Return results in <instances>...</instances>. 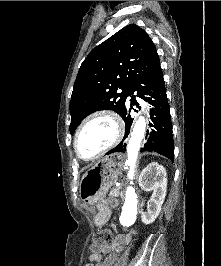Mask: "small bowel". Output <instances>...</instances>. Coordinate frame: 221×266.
I'll list each match as a JSON object with an SVG mask.
<instances>
[{
    "label": "small bowel",
    "mask_w": 221,
    "mask_h": 266,
    "mask_svg": "<svg viewBox=\"0 0 221 266\" xmlns=\"http://www.w3.org/2000/svg\"><path fill=\"white\" fill-rule=\"evenodd\" d=\"M131 237L129 234H120L116 238V243L111 246H107L104 249V253L107 257L102 260L100 254H91L89 257V263L85 266H113L117 260V253L122 250V245L127 244Z\"/></svg>",
    "instance_id": "1"
}]
</instances>
